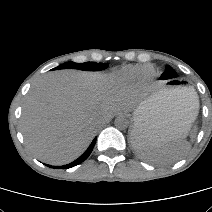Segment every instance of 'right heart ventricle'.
<instances>
[{"mask_svg": "<svg viewBox=\"0 0 212 212\" xmlns=\"http://www.w3.org/2000/svg\"><path fill=\"white\" fill-rule=\"evenodd\" d=\"M154 68L150 65L145 66H129L122 70V74L128 78H138L142 76H150L154 74Z\"/></svg>", "mask_w": 212, "mask_h": 212, "instance_id": "1", "label": "right heart ventricle"}]
</instances>
